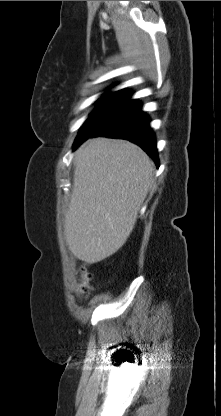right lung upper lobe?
Listing matches in <instances>:
<instances>
[{
	"instance_id": "1",
	"label": "right lung upper lobe",
	"mask_w": 221,
	"mask_h": 416,
	"mask_svg": "<svg viewBox=\"0 0 221 416\" xmlns=\"http://www.w3.org/2000/svg\"><path fill=\"white\" fill-rule=\"evenodd\" d=\"M131 95V93L129 92H122V91H117V92H113L110 94H107V96H124L126 98H128Z\"/></svg>"
}]
</instances>
